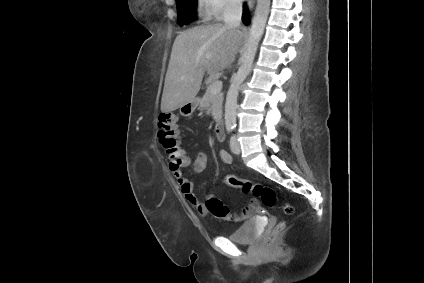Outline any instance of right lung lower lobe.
<instances>
[{"label":"right lung lower lobe","mask_w":424,"mask_h":283,"mask_svg":"<svg viewBox=\"0 0 424 283\" xmlns=\"http://www.w3.org/2000/svg\"><path fill=\"white\" fill-rule=\"evenodd\" d=\"M247 18H248V8H247L246 4H244V6H243V15H242V20H243V22H245L246 24L248 23Z\"/></svg>","instance_id":"right-lung-lower-lobe-1"}]
</instances>
